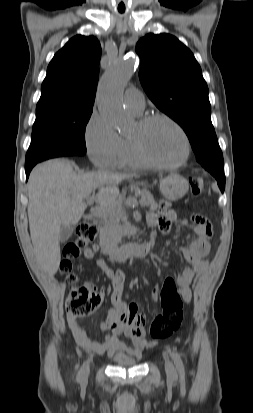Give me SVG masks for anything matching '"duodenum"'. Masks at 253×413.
<instances>
[{"instance_id":"duodenum-1","label":"duodenum","mask_w":253,"mask_h":413,"mask_svg":"<svg viewBox=\"0 0 253 413\" xmlns=\"http://www.w3.org/2000/svg\"><path fill=\"white\" fill-rule=\"evenodd\" d=\"M100 241L102 254L119 262L131 257H145L152 251L154 246L153 239H150L145 243H131L119 248L114 247L109 243L104 227L100 228Z\"/></svg>"}]
</instances>
